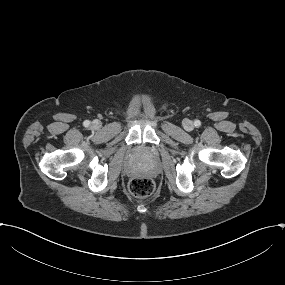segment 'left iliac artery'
<instances>
[{"instance_id": "obj_1", "label": "left iliac artery", "mask_w": 285, "mask_h": 285, "mask_svg": "<svg viewBox=\"0 0 285 285\" xmlns=\"http://www.w3.org/2000/svg\"><path fill=\"white\" fill-rule=\"evenodd\" d=\"M194 125H195L196 127H200V126H201V121H200V120H195V121H194Z\"/></svg>"}]
</instances>
